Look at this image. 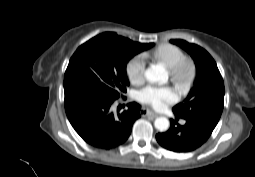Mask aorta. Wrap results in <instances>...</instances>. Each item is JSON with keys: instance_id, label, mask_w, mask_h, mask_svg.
Returning <instances> with one entry per match:
<instances>
[{"instance_id": "obj_1", "label": "aorta", "mask_w": 255, "mask_h": 177, "mask_svg": "<svg viewBox=\"0 0 255 177\" xmlns=\"http://www.w3.org/2000/svg\"><path fill=\"white\" fill-rule=\"evenodd\" d=\"M145 77L150 82H165L168 80V73L162 66L152 65L146 70ZM154 125L157 130L164 132L168 130L170 123L166 117H159L155 120Z\"/></svg>"}]
</instances>
